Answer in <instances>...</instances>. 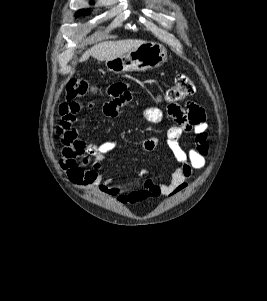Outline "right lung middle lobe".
Masks as SVG:
<instances>
[{
  "instance_id": "dd1d6c3e",
  "label": "right lung middle lobe",
  "mask_w": 267,
  "mask_h": 301,
  "mask_svg": "<svg viewBox=\"0 0 267 301\" xmlns=\"http://www.w3.org/2000/svg\"><path fill=\"white\" fill-rule=\"evenodd\" d=\"M87 14H89V11L82 9L77 12L76 17H78L80 15H87Z\"/></svg>"
}]
</instances>
